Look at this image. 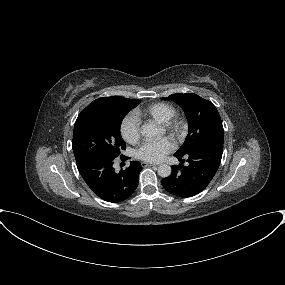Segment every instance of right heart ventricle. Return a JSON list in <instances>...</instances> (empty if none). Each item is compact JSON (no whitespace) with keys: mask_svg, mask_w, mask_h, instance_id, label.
<instances>
[{"mask_svg":"<svg viewBox=\"0 0 285 285\" xmlns=\"http://www.w3.org/2000/svg\"><path fill=\"white\" fill-rule=\"evenodd\" d=\"M176 113L175 108L165 102H155L142 109H137L134 114L139 119H153L159 123H165Z\"/></svg>","mask_w":285,"mask_h":285,"instance_id":"right-heart-ventricle-1","label":"right heart ventricle"}]
</instances>
